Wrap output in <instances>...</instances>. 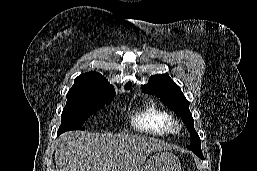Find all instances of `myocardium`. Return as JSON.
Here are the masks:
<instances>
[{
	"label": "myocardium",
	"instance_id": "obj_1",
	"mask_svg": "<svg viewBox=\"0 0 257 171\" xmlns=\"http://www.w3.org/2000/svg\"><path fill=\"white\" fill-rule=\"evenodd\" d=\"M168 128L171 133L177 134L181 131L182 124L177 117L170 116L168 121Z\"/></svg>",
	"mask_w": 257,
	"mask_h": 171
}]
</instances>
